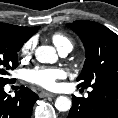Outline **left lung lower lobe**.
<instances>
[{"instance_id":"1","label":"left lung lower lobe","mask_w":118,"mask_h":118,"mask_svg":"<svg viewBox=\"0 0 118 118\" xmlns=\"http://www.w3.org/2000/svg\"><path fill=\"white\" fill-rule=\"evenodd\" d=\"M67 118H118V88H93L88 98L73 96Z\"/></svg>"}]
</instances>
